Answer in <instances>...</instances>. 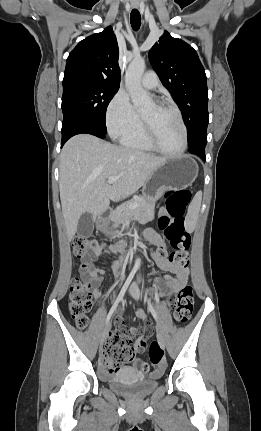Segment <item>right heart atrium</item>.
<instances>
[{
    "label": "right heart atrium",
    "mask_w": 261,
    "mask_h": 431,
    "mask_svg": "<svg viewBox=\"0 0 261 431\" xmlns=\"http://www.w3.org/2000/svg\"><path fill=\"white\" fill-rule=\"evenodd\" d=\"M139 123V115L132 106L127 92L119 90L106 109V126L113 138H122Z\"/></svg>",
    "instance_id": "right-heart-atrium-1"
}]
</instances>
